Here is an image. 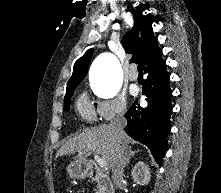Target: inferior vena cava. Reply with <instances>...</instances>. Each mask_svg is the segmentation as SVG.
<instances>
[{
    "instance_id": "602c4592",
    "label": "inferior vena cava",
    "mask_w": 221,
    "mask_h": 193,
    "mask_svg": "<svg viewBox=\"0 0 221 193\" xmlns=\"http://www.w3.org/2000/svg\"><path fill=\"white\" fill-rule=\"evenodd\" d=\"M124 112H120L116 119L111 122L115 134L117 136V144L115 154L113 157L111 170L112 180L116 188L121 186L123 180V172L126 163L127 146L122 142L123 128L126 126L127 121L124 118Z\"/></svg>"
}]
</instances>
